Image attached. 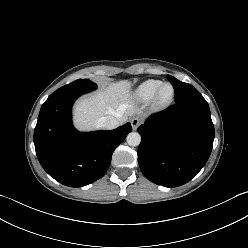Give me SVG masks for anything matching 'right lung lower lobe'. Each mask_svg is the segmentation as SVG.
Masks as SVG:
<instances>
[{
    "instance_id": "right-lung-lower-lobe-1",
    "label": "right lung lower lobe",
    "mask_w": 248,
    "mask_h": 248,
    "mask_svg": "<svg viewBox=\"0 0 248 248\" xmlns=\"http://www.w3.org/2000/svg\"><path fill=\"white\" fill-rule=\"evenodd\" d=\"M90 91L56 90L43 103L34 131L37 158L55 180L82 187L101 178L114 150L132 131L130 123L110 131L80 133L72 125L74 101Z\"/></svg>"
}]
</instances>
